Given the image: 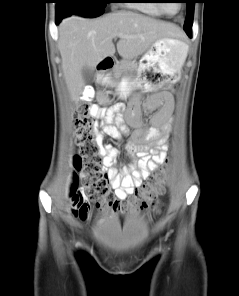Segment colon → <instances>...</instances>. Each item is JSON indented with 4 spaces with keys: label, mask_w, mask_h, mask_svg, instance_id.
Returning a JSON list of instances; mask_svg holds the SVG:
<instances>
[{
    "label": "colon",
    "mask_w": 239,
    "mask_h": 296,
    "mask_svg": "<svg viewBox=\"0 0 239 296\" xmlns=\"http://www.w3.org/2000/svg\"><path fill=\"white\" fill-rule=\"evenodd\" d=\"M85 91L82 101L74 110L77 143L80 147V152L73 158L75 174L70 193L75 215L81 219L87 218L91 204H95L100 210L113 213H127L145 206L157 210L158 204L154 199L164 191L165 169L157 171L154 178L143 185L135 200L119 202L110 190L101 165L96 121L93 116L95 106L89 102L93 89ZM79 178L83 180L81 187L78 185Z\"/></svg>",
    "instance_id": "5ec220e1"
}]
</instances>
